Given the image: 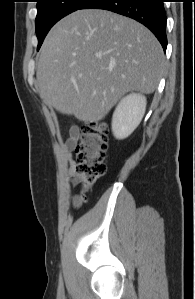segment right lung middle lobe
I'll return each mask as SVG.
<instances>
[{"instance_id": "1", "label": "right lung middle lobe", "mask_w": 195, "mask_h": 299, "mask_svg": "<svg viewBox=\"0 0 195 299\" xmlns=\"http://www.w3.org/2000/svg\"><path fill=\"white\" fill-rule=\"evenodd\" d=\"M88 0H37L35 20L38 49L50 28L64 16L80 9Z\"/></svg>"}]
</instances>
